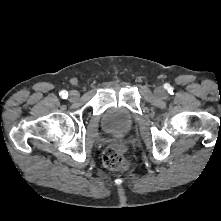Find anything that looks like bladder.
<instances>
[{
    "mask_svg": "<svg viewBox=\"0 0 221 221\" xmlns=\"http://www.w3.org/2000/svg\"><path fill=\"white\" fill-rule=\"evenodd\" d=\"M133 125L132 114L122 107H111L102 117V127L110 133L127 132Z\"/></svg>",
    "mask_w": 221,
    "mask_h": 221,
    "instance_id": "1",
    "label": "bladder"
}]
</instances>
